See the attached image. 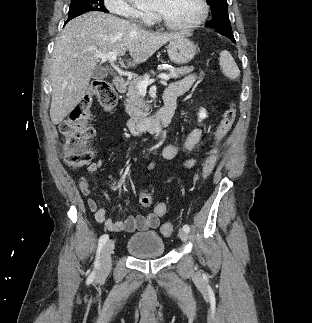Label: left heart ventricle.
<instances>
[{
  "label": "left heart ventricle",
  "mask_w": 312,
  "mask_h": 323,
  "mask_svg": "<svg viewBox=\"0 0 312 323\" xmlns=\"http://www.w3.org/2000/svg\"><path fill=\"white\" fill-rule=\"evenodd\" d=\"M161 14L169 22H189L190 18H201L200 2L198 0H166L161 7Z\"/></svg>",
  "instance_id": "left-heart-ventricle-1"
}]
</instances>
